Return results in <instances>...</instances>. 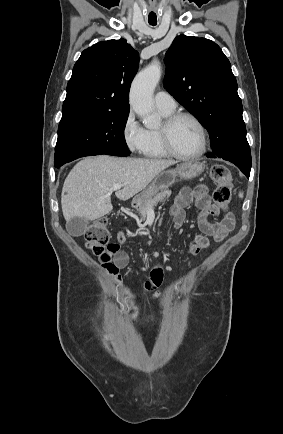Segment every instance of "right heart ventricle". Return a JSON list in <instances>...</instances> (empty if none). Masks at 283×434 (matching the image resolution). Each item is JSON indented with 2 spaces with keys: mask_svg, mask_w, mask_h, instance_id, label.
Returning <instances> with one entry per match:
<instances>
[{
  "mask_svg": "<svg viewBox=\"0 0 283 434\" xmlns=\"http://www.w3.org/2000/svg\"><path fill=\"white\" fill-rule=\"evenodd\" d=\"M159 112L164 118H166L171 113H173V111H163V110H159ZM146 131H147V140H146L144 150L142 152L143 155L153 159L167 157L168 154L166 153V151L162 146L159 129L150 128L147 129Z\"/></svg>",
  "mask_w": 283,
  "mask_h": 434,
  "instance_id": "e07e8e85",
  "label": "right heart ventricle"
}]
</instances>
